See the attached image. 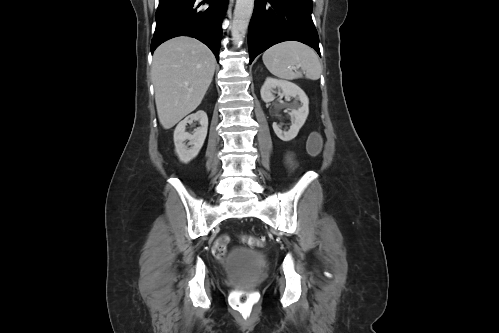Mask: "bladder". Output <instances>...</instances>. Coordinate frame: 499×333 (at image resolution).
I'll return each mask as SVG.
<instances>
[{
	"label": "bladder",
	"instance_id": "obj_1",
	"mask_svg": "<svg viewBox=\"0 0 499 333\" xmlns=\"http://www.w3.org/2000/svg\"><path fill=\"white\" fill-rule=\"evenodd\" d=\"M261 256L253 251L245 249L234 250L230 256L228 267L238 275L239 278L250 280L259 267Z\"/></svg>",
	"mask_w": 499,
	"mask_h": 333
}]
</instances>
